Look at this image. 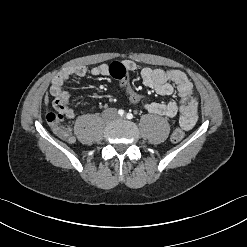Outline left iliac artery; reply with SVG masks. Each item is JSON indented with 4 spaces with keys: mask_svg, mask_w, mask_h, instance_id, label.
Here are the masks:
<instances>
[{
    "mask_svg": "<svg viewBox=\"0 0 247 247\" xmlns=\"http://www.w3.org/2000/svg\"><path fill=\"white\" fill-rule=\"evenodd\" d=\"M126 118H127V119H132V118H133V114H132V113H128V114L126 115Z\"/></svg>",
    "mask_w": 247,
    "mask_h": 247,
    "instance_id": "1",
    "label": "left iliac artery"
}]
</instances>
